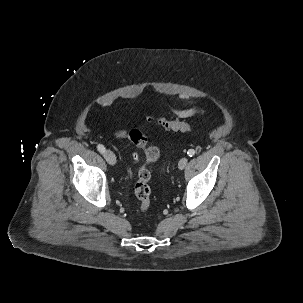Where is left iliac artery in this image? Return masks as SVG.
<instances>
[{
  "label": "left iliac artery",
  "mask_w": 303,
  "mask_h": 303,
  "mask_svg": "<svg viewBox=\"0 0 303 303\" xmlns=\"http://www.w3.org/2000/svg\"><path fill=\"white\" fill-rule=\"evenodd\" d=\"M187 154H188V156L192 157L195 154V150L194 149H189Z\"/></svg>",
  "instance_id": "left-iliac-artery-1"
}]
</instances>
